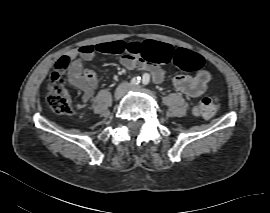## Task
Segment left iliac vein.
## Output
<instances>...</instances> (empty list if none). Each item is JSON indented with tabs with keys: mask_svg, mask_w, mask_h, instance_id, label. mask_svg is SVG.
Here are the masks:
<instances>
[{
	"mask_svg": "<svg viewBox=\"0 0 270 213\" xmlns=\"http://www.w3.org/2000/svg\"><path fill=\"white\" fill-rule=\"evenodd\" d=\"M141 87L139 85H133L129 88V90H139Z\"/></svg>",
	"mask_w": 270,
	"mask_h": 213,
	"instance_id": "left-iliac-vein-1",
	"label": "left iliac vein"
}]
</instances>
